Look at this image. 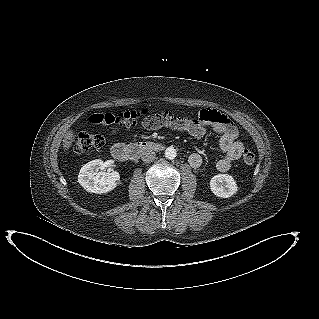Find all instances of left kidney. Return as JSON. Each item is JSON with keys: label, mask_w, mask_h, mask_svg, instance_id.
<instances>
[{"label": "left kidney", "mask_w": 319, "mask_h": 319, "mask_svg": "<svg viewBox=\"0 0 319 319\" xmlns=\"http://www.w3.org/2000/svg\"><path fill=\"white\" fill-rule=\"evenodd\" d=\"M210 189L214 195L229 198L238 191L234 178L229 174H218L211 178Z\"/></svg>", "instance_id": "1"}]
</instances>
